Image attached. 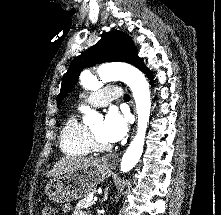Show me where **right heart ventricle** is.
<instances>
[{
    "label": "right heart ventricle",
    "mask_w": 221,
    "mask_h": 215,
    "mask_svg": "<svg viewBox=\"0 0 221 215\" xmlns=\"http://www.w3.org/2000/svg\"><path fill=\"white\" fill-rule=\"evenodd\" d=\"M60 148L68 155H86L90 152L89 128L76 114L70 115L60 132Z\"/></svg>",
    "instance_id": "right-heart-ventricle-1"
}]
</instances>
